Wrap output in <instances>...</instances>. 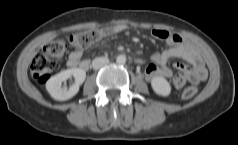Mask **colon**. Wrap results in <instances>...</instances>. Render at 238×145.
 <instances>
[{
    "label": "colon",
    "mask_w": 238,
    "mask_h": 145,
    "mask_svg": "<svg viewBox=\"0 0 238 145\" xmlns=\"http://www.w3.org/2000/svg\"><path fill=\"white\" fill-rule=\"evenodd\" d=\"M103 35L102 30H86L72 34L68 41L75 49L83 50L96 42ZM67 43L64 39H56L46 46L34 57L31 63V74L39 83L47 82L58 68V61L65 54ZM197 93L194 86L186 87L182 92L184 99H190Z\"/></svg>",
    "instance_id": "obj_1"
}]
</instances>
